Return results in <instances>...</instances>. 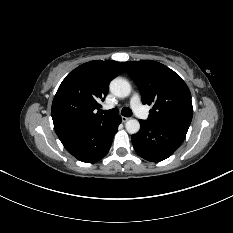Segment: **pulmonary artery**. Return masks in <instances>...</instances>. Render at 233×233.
I'll return each instance as SVG.
<instances>
[{
    "mask_svg": "<svg viewBox=\"0 0 233 233\" xmlns=\"http://www.w3.org/2000/svg\"><path fill=\"white\" fill-rule=\"evenodd\" d=\"M131 106L133 108V110L135 111V113L141 117V118H146L147 117V114L146 112L144 111L142 105H141V101H140V97L138 94H134L132 97H131Z\"/></svg>",
    "mask_w": 233,
    "mask_h": 233,
    "instance_id": "e3ab8cb5",
    "label": "pulmonary artery"
}]
</instances>
